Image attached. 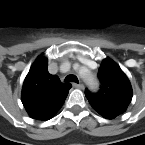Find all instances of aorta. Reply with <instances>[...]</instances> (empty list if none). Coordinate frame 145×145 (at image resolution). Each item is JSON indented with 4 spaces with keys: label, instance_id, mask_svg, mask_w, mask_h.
Returning <instances> with one entry per match:
<instances>
[{
    "label": "aorta",
    "instance_id": "1",
    "mask_svg": "<svg viewBox=\"0 0 145 145\" xmlns=\"http://www.w3.org/2000/svg\"><path fill=\"white\" fill-rule=\"evenodd\" d=\"M82 77L84 81L86 82V84L89 85L90 87L97 86V81L94 75L90 71H87L86 73H84Z\"/></svg>",
    "mask_w": 145,
    "mask_h": 145
}]
</instances>
